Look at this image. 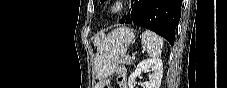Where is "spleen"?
I'll return each mask as SVG.
<instances>
[{
  "label": "spleen",
  "instance_id": "obj_1",
  "mask_svg": "<svg viewBox=\"0 0 227 88\" xmlns=\"http://www.w3.org/2000/svg\"><path fill=\"white\" fill-rule=\"evenodd\" d=\"M141 41L149 56L153 58L161 56L163 39L156 33L146 30L142 34Z\"/></svg>",
  "mask_w": 227,
  "mask_h": 88
}]
</instances>
